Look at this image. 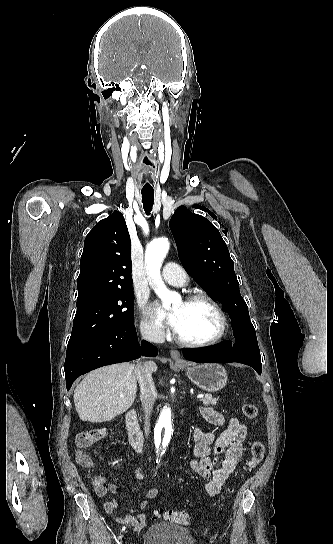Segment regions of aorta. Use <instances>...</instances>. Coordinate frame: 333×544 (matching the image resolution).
<instances>
[{
  "mask_svg": "<svg viewBox=\"0 0 333 544\" xmlns=\"http://www.w3.org/2000/svg\"><path fill=\"white\" fill-rule=\"evenodd\" d=\"M168 250V240L166 238H160L150 243L147 246L145 253L148 274L154 284V291L162 300L163 307L166 309H169L172 303H176L180 300L179 294L170 291L165 286L160 275L161 265L166 254L168 253ZM171 433V411L170 409L166 408L162 410L156 424L155 445L158 451H165L170 441Z\"/></svg>",
  "mask_w": 333,
  "mask_h": 544,
  "instance_id": "obj_1",
  "label": "aorta"
}]
</instances>
